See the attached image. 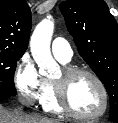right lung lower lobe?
I'll return each instance as SVG.
<instances>
[{
  "instance_id": "obj_1",
  "label": "right lung lower lobe",
  "mask_w": 118,
  "mask_h": 123,
  "mask_svg": "<svg viewBox=\"0 0 118 123\" xmlns=\"http://www.w3.org/2000/svg\"><path fill=\"white\" fill-rule=\"evenodd\" d=\"M9 97H12V95L0 94V99H7Z\"/></svg>"
}]
</instances>
